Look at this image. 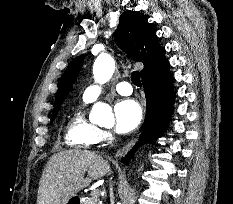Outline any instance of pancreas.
<instances>
[{"label":"pancreas","mask_w":233,"mask_h":204,"mask_svg":"<svg viewBox=\"0 0 233 204\" xmlns=\"http://www.w3.org/2000/svg\"><path fill=\"white\" fill-rule=\"evenodd\" d=\"M82 204H99L97 197L90 196L87 197L85 201L82 202Z\"/></svg>","instance_id":"1"}]
</instances>
